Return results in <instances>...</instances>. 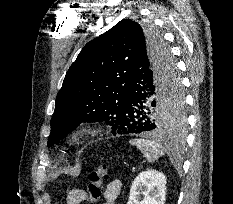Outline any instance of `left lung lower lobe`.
<instances>
[{
    "instance_id": "0a47b994",
    "label": "left lung lower lobe",
    "mask_w": 233,
    "mask_h": 204,
    "mask_svg": "<svg viewBox=\"0 0 233 204\" xmlns=\"http://www.w3.org/2000/svg\"><path fill=\"white\" fill-rule=\"evenodd\" d=\"M163 53L153 56L149 49H140L133 61L127 92L118 116L120 134L161 131L158 121L160 102L166 99L180 81L176 66L167 76L163 70ZM183 125L167 130L181 133Z\"/></svg>"
}]
</instances>
